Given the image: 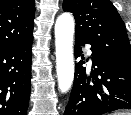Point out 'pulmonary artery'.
<instances>
[{"label":"pulmonary artery","instance_id":"e3ab8cb5","mask_svg":"<svg viewBox=\"0 0 131 115\" xmlns=\"http://www.w3.org/2000/svg\"><path fill=\"white\" fill-rule=\"evenodd\" d=\"M88 54L90 55V54H91V52L89 51V52H88Z\"/></svg>","mask_w":131,"mask_h":115}]
</instances>
